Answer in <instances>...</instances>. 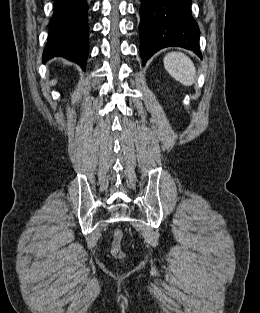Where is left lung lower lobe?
Returning a JSON list of instances; mask_svg holds the SVG:
<instances>
[{"mask_svg":"<svg viewBox=\"0 0 260 313\" xmlns=\"http://www.w3.org/2000/svg\"><path fill=\"white\" fill-rule=\"evenodd\" d=\"M191 0H141L139 25L143 65L158 50L177 46L200 58L199 27L191 16Z\"/></svg>","mask_w":260,"mask_h":313,"instance_id":"left-lung-lower-lobe-1","label":"left lung lower lobe"}]
</instances>
